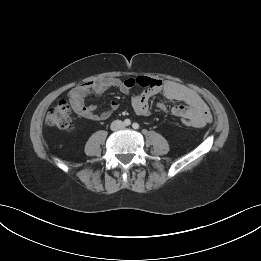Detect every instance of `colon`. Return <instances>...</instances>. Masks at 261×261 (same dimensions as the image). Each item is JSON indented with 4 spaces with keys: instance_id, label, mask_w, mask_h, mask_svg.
<instances>
[{
    "instance_id": "1",
    "label": "colon",
    "mask_w": 261,
    "mask_h": 261,
    "mask_svg": "<svg viewBox=\"0 0 261 261\" xmlns=\"http://www.w3.org/2000/svg\"><path fill=\"white\" fill-rule=\"evenodd\" d=\"M46 121L51 126L66 131L72 130L71 108L68 102L66 100H61L52 107L47 114ZM181 121L185 126H192V122L189 119L182 118Z\"/></svg>"
}]
</instances>
